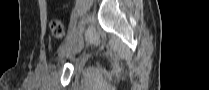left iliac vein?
Returning a JSON list of instances; mask_svg holds the SVG:
<instances>
[{
    "label": "left iliac vein",
    "mask_w": 209,
    "mask_h": 90,
    "mask_svg": "<svg viewBox=\"0 0 209 90\" xmlns=\"http://www.w3.org/2000/svg\"><path fill=\"white\" fill-rule=\"evenodd\" d=\"M78 24H85V19H80L77 21V27L74 29V36L70 37L67 41H65L59 48V58L62 59L68 54L71 53L72 50L77 48H82L83 44H77L76 39H79V34L83 32L82 29H78ZM80 32V33H79Z\"/></svg>",
    "instance_id": "left-iliac-vein-1"
}]
</instances>
